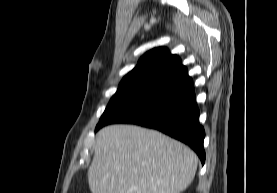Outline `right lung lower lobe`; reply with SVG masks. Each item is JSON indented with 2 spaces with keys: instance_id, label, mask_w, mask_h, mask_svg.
<instances>
[{
  "instance_id": "1",
  "label": "right lung lower lobe",
  "mask_w": 277,
  "mask_h": 193,
  "mask_svg": "<svg viewBox=\"0 0 277 193\" xmlns=\"http://www.w3.org/2000/svg\"><path fill=\"white\" fill-rule=\"evenodd\" d=\"M198 118L193 81L187 77L147 94L95 131L112 123H131L153 128L189 145L204 164L205 131Z\"/></svg>"
}]
</instances>
